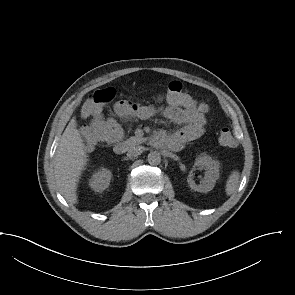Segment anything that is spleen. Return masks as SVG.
Segmentation results:
<instances>
[{
  "label": "spleen",
  "mask_w": 295,
  "mask_h": 295,
  "mask_svg": "<svg viewBox=\"0 0 295 295\" xmlns=\"http://www.w3.org/2000/svg\"><path fill=\"white\" fill-rule=\"evenodd\" d=\"M239 178H240V173L238 170H233L231 174L229 175L227 182H226V188L225 192L227 195H232L235 190L237 189L239 185Z\"/></svg>",
  "instance_id": "spleen-1"
}]
</instances>
